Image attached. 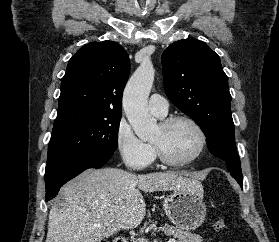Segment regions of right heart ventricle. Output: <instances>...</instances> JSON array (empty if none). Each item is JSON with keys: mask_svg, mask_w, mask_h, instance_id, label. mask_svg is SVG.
<instances>
[{"mask_svg": "<svg viewBox=\"0 0 279 242\" xmlns=\"http://www.w3.org/2000/svg\"><path fill=\"white\" fill-rule=\"evenodd\" d=\"M156 116H157V115H156ZM157 117H159V118H163L164 116H163V117L157 116Z\"/></svg>", "mask_w": 279, "mask_h": 242, "instance_id": "1", "label": "right heart ventricle"}]
</instances>
